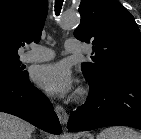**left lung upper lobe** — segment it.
<instances>
[{"label": "left lung upper lobe", "mask_w": 141, "mask_h": 139, "mask_svg": "<svg viewBox=\"0 0 141 139\" xmlns=\"http://www.w3.org/2000/svg\"><path fill=\"white\" fill-rule=\"evenodd\" d=\"M81 22L74 31L80 41L92 42L94 63H82L84 76L94 84L111 74L141 76V38L134 17L117 0H81Z\"/></svg>", "instance_id": "obj_1"}]
</instances>
